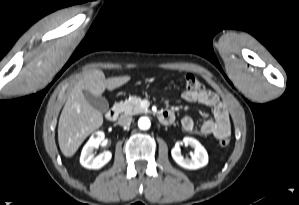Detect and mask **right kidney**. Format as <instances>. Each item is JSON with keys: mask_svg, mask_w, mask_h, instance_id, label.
<instances>
[{"mask_svg": "<svg viewBox=\"0 0 299 205\" xmlns=\"http://www.w3.org/2000/svg\"><path fill=\"white\" fill-rule=\"evenodd\" d=\"M104 133L98 131L94 133L82 149L80 163L88 169H99L107 164L112 157L110 151H104L97 156H94L93 149L97 148L104 140Z\"/></svg>", "mask_w": 299, "mask_h": 205, "instance_id": "1", "label": "right kidney"}]
</instances>
